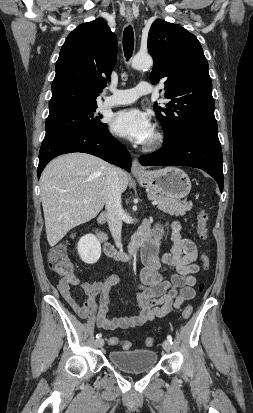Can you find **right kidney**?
Instances as JSON below:
<instances>
[{"instance_id": "obj_1", "label": "right kidney", "mask_w": 253, "mask_h": 413, "mask_svg": "<svg viewBox=\"0 0 253 413\" xmlns=\"http://www.w3.org/2000/svg\"><path fill=\"white\" fill-rule=\"evenodd\" d=\"M77 249L80 258L87 264L96 263L101 256V244L93 234L81 237Z\"/></svg>"}]
</instances>
